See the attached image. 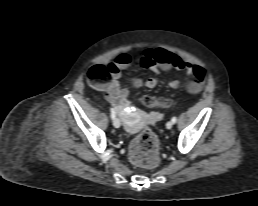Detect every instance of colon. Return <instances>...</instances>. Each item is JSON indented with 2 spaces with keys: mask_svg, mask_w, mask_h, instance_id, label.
<instances>
[{
  "mask_svg": "<svg viewBox=\"0 0 258 206\" xmlns=\"http://www.w3.org/2000/svg\"><path fill=\"white\" fill-rule=\"evenodd\" d=\"M89 81L96 85H102L110 79L109 70L102 65H95L88 71ZM148 106L167 108L170 102L167 99L144 100ZM130 160L139 167L153 168L159 163V140L157 135L150 129L143 130L130 145Z\"/></svg>",
  "mask_w": 258,
  "mask_h": 206,
  "instance_id": "1",
  "label": "colon"
}]
</instances>
